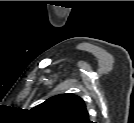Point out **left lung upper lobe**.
Listing matches in <instances>:
<instances>
[{"label": "left lung upper lobe", "mask_w": 134, "mask_h": 123, "mask_svg": "<svg viewBox=\"0 0 134 123\" xmlns=\"http://www.w3.org/2000/svg\"><path fill=\"white\" fill-rule=\"evenodd\" d=\"M33 110L54 122L89 123V114L83 99L70 93L53 96Z\"/></svg>", "instance_id": "5c2ea615"}]
</instances>
